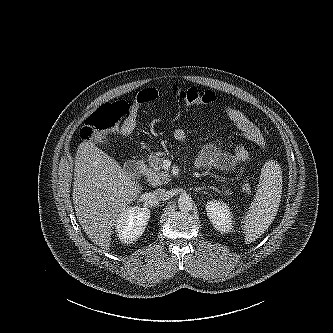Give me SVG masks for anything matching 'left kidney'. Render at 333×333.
Listing matches in <instances>:
<instances>
[{
  "mask_svg": "<svg viewBox=\"0 0 333 333\" xmlns=\"http://www.w3.org/2000/svg\"><path fill=\"white\" fill-rule=\"evenodd\" d=\"M207 216L214 228L221 233L233 229V216L229 206L220 200H211L206 204Z\"/></svg>",
  "mask_w": 333,
  "mask_h": 333,
  "instance_id": "left-kidney-1",
  "label": "left kidney"
}]
</instances>
